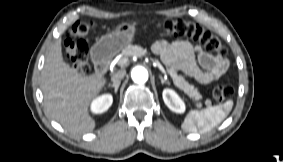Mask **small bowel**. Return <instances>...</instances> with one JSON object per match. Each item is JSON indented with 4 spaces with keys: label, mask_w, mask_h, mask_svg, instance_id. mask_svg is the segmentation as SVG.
<instances>
[{
    "label": "small bowel",
    "mask_w": 283,
    "mask_h": 162,
    "mask_svg": "<svg viewBox=\"0 0 283 162\" xmlns=\"http://www.w3.org/2000/svg\"><path fill=\"white\" fill-rule=\"evenodd\" d=\"M163 63L179 69L201 84H209L228 70V60L188 41H156L152 47Z\"/></svg>",
    "instance_id": "1"
}]
</instances>
